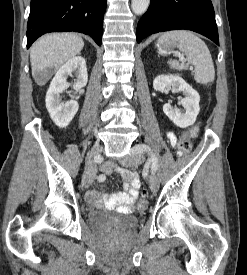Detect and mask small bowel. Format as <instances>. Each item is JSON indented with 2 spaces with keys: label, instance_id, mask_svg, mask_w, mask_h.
<instances>
[{
  "label": "small bowel",
  "instance_id": "obj_1",
  "mask_svg": "<svg viewBox=\"0 0 247 275\" xmlns=\"http://www.w3.org/2000/svg\"><path fill=\"white\" fill-rule=\"evenodd\" d=\"M168 138L171 144L175 146L177 142L176 136L169 132ZM101 170L104 174H111L113 172L120 173L125 179L124 188L111 196H106L93 190L88 191L85 195L87 202L92 206H101L104 204L111 208L117 207L121 211L131 210L138 197V190L140 188L138 176L133 172L127 171L111 163L103 164Z\"/></svg>",
  "mask_w": 247,
  "mask_h": 275
}]
</instances>
